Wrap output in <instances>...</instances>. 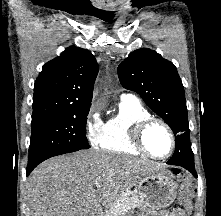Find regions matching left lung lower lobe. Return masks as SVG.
Returning <instances> with one entry per match:
<instances>
[{"instance_id":"left-lung-lower-lobe-1","label":"left lung lower lobe","mask_w":221,"mask_h":216,"mask_svg":"<svg viewBox=\"0 0 221 216\" xmlns=\"http://www.w3.org/2000/svg\"><path fill=\"white\" fill-rule=\"evenodd\" d=\"M167 164L181 166L196 176L194 167V154L192 150L180 146H176L175 152Z\"/></svg>"}]
</instances>
